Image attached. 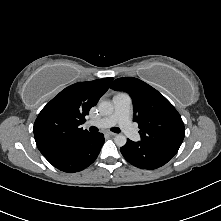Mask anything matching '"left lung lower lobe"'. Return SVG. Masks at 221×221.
I'll return each mask as SVG.
<instances>
[{"label":"left lung lower lobe","instance_id":"obj_1","mask_svg":"<svg viewBox=\"0 0 221 221\" xmlns=\"http://www.w3.org/2000/svg\"><path fill=\"white\" fill-rule=\"evenodd\" d=\"M178 149L168 145L133 142L127 139V143L120 148V151L132 165L150 170L166 164L174 157Z\"/></svg>","mask_w":221,"mask_h":221}]
</instances>
